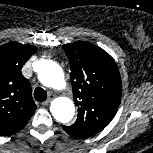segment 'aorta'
<instances>
[{
	"label": "aorta",
	"mask_w": 153,
	"mask_h": 153,
	"mask_svg": "<svg viewBox=\"0 0 153 153\" xmlns=\"http://www.w3.org/2000/svg\"><path fill=\"white\" fill-rule=\"evenodd\" d=\"M37 73L40 82L46 87L60 90L66 86L63 70L54 61H40ZM50 111L57 121L68 123L74 116L75 106L71 99L58 97L52 101Z\"/></svg>",
	"instance_id": "aorta-1"
}]
</instances>
